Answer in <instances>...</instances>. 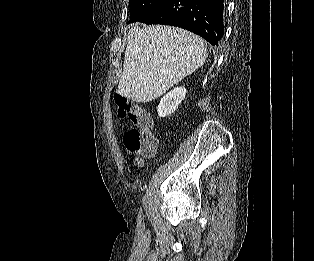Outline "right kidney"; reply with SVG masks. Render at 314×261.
Instances as JSON below:
<instances>
[{
  "label": "right kidney",
  "mask_w": 314,
  "mask_h": 261,
  "mask_svg": "<svg viewBox=\"0 0 314 261\" xmlns=\"http://www.w3.org/2000/svg\"><path fill=\"white\" fill-rule=\"evenodd\" d=\"M186 92L185 87H176L164 95L157 108L159 117H166L175 112L179 104L184 100Z\"/></svg>",
  "instance_id": "obj_1"
}]
</instances>
